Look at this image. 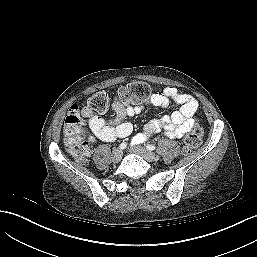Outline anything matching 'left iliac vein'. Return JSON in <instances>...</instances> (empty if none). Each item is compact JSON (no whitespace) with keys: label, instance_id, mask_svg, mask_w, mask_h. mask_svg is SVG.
Segmentation results:
<instances>
[{"label":"left iliac vein","instance_id":"left-iliac-vein-1","mask_svg":"<svg viewBox=\"0 0 257 257\" xmlns=\"http://www.w3.org/2000/svg\"><path fill=\"white\" fill-rule=\"evenodd\" d=\"M132 150L135 153H137L140 156H142L147 161H157L159 159V157L157 155H155L154 153H152L150 151H147L143 147L136 146V147L132 148Z\"/></svg>","mask_w":257,"mask_h":257}]
</instances>
